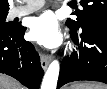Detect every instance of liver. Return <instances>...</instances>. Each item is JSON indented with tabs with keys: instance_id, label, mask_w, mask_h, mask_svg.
<instances>
[{
	"instance_id": "1",
	"label": "liver",
	"mask_w": 107,
	"mask_h": 89,
	"mask_svg": "<svg viewBox=\"0 0 107 89\" xmlns=\"http://www.w3.org/2000/svg\"><path fill=\"white\" fill-rule=\"evenodd\" d=\"M0 89H24L15 79L2 74L0 76Z\"/></svg>"
}]
</instances>
